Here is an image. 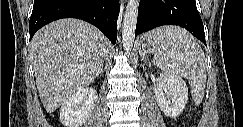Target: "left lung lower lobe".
Masks as SVG:
<instances>
[{
	"instance_id": "0a47b994",
	"label": "left lung lower lobe",
	"mask_w": 243,
	"mask_h": 127,
	"mask_svg": "<svg viewBox=\"0 0 243 127\" xmlns=\"http://www.w3.org/2000/svg\"><path fill=\"white\" fill-rule=\"evenodd\" d=\"M163 25L181 26L206 44L195 0H141L135 37Z\"/></svg>"
}]
</instances>
